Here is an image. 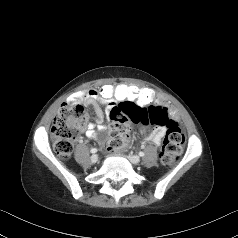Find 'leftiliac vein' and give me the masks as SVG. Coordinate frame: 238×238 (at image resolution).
<instances>
[{
  "label": "left iliac vein",
  "mask_w": 238,
  "mask_h": 238,
  "mask_svg": "<svg viewBox=\"0 0 238 238\" xmlns=\"http://www.w3.org/2000/svg\"><path fill=\"white\" fill-rule=\"evenodd\" d=\"M128 159L130 160L131 163L137 165L140 163V158L136 155H129Z\"/></svg>",
  "instance_id": "4c4485c4"
}]
</instances>
